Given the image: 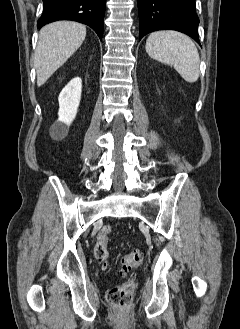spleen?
Masks as SVG:
<instances>
[{
  "instance_id": "obj_1",
  "label": "spleen",
  "mask_w": 240,
  "mask_h": 329,
  "mask_svg": "<svg viewBox=\"0 0 240 329\" xmlns=\"http://www.w3.org/2000/svg\"><path fill=\"white\" fill-rule=\"evenodd\" d=\"M145 49L151 58L172 65L186 82L198 80L199 53L188 36L176 31H156L147 38Z\"/></svg>"
}]
</instances>
